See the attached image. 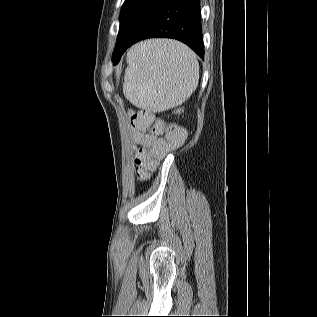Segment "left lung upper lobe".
<instances>
[{
	"instance_id": "1",
	"label": "left lung upper lobe",
	"mask_w": 317,
	"mask_h": 317,
	"mask_svg": "<svg viewBox=\"0 0 317 317\" xmlns=\"http://www.w3.org/2000/svg\"><path fill=\"white\" fill-rule=\"evenodd\" d=\"M164 2L165 0H125L120 14L117 44L130 41Z\"/></svg>"
}]
</instances>
